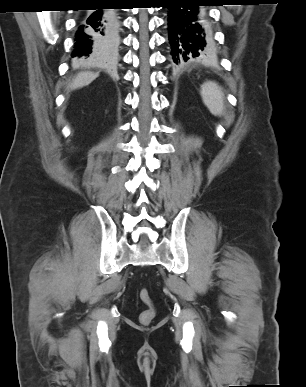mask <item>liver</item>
Segmentation results:
<instances>
[{
    "instance_id": "1",
    "label": "liver",
    "mask_w": 306,
    "mask_h": 387,
    "mask_svg": "<svg viewBox=\"0 0 306 387\" xmlns=\"http://www.w3.org/2000/svg\"><path fill=\"white\" fill-rule=\"evenodd\" d=\"M98 77V73H94L91 71H85L77 74V76L72 81L70 88L71 89H78L82 88L84 86L89 85L93 80H95Z\"/></svg>"
}]
</instances>
